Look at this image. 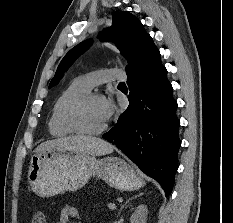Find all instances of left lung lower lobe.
Masks as SVG:
<instances>
[{
  "label": "left lung lower lobe",
  "instance_id": "1",
  "mask_svg": "<svg viewBox=\"0 0 233 223\" xmlns=\"http://www.w3.org/2000/svg\"><path fill=\"white\" fill-rule=\"evenodd\" d=\"M127 84L130 104L103 138L115 143L169 196L178 168L179 120L167 70L154 43L127 73Z\"/></svg>",
  "mask_w": 233,
  "mask_h": 223
}]
</instances>
